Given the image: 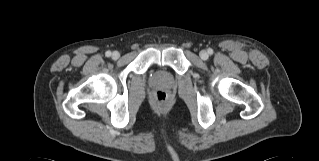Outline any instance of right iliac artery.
<instances>
[{"label": "right iliac artery", "mask_w": 319, "mask_h": 161, "mask_svg": "<svg viewBox=\"0 0 319 161\" xmlns=\"http://www.w3.org/2000/svg\"><path fill=\"white\" fill-rule=\"evenodd\" d=\"M105 55H106L107 57H110V56H111V51H107V52L105 53Z\"/></svg>", "instance_id": "1"}]
</instances>
